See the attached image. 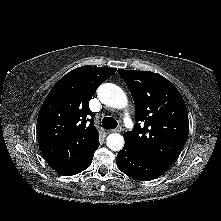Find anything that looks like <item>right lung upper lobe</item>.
<instances>
[{"label": "right lung upper lobe", "instance_id": "right-lung-upper-lobe-1", "mask_svg": "<svg viewBox=\"0 0 221 221\" xmlns=\"http://www.w3.org/2000/svg\"><path fill=\"white\" fill-rule=\"evenodd\" d=\"M117 69L78 67L63 76L47 95L37 119L39 148L57 173L73 168L99 145L89 101Z\"/></svg>", "mask_w": 221, "mask_h": 221}]
</instances>
